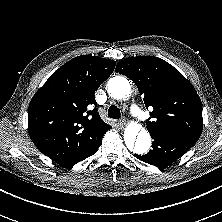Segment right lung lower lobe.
Masks as SVG:
<instances>
[{
	"label": "right lung lower lobe",
	"instance_id": "98d812e1",
	"mask_svg": "<svg viewBox=\"0 0 222 222\" xmlns=\"http://www.w3.org/2000/svg\"><path fill=\"white\" fill-rule=\"evenodd\" d=\"M101 143H102V140L95 146V148L89 154H87L83 158H81V159H79V160H77L75 162L67 163L64 166H68V167L73 166L74 164H76V163H78V162L88 158L89 156L95 154L98 151V148L100 147Z\"/></svg>",
	"mask_w": 222,
	"mask_h": 222
}]
</instances>
